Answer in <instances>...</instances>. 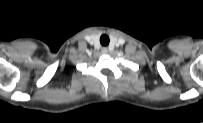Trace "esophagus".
Masks as SVG:
<instances>
[{"label":"esophagus","mask_w":203,"mask_h":123,"mask_svg":"<svg viewBox=\"0 0 203 123\" xmlns=\"http://www.w3.org/2000/svg\"><path fill=\"white\" fill-rule=\"evenodd\" d=\"M102 53L103 54H107L108 53V49L107 48H102Z\"/></svg>","instance_id":"esophagus-1"}]
</instances>
